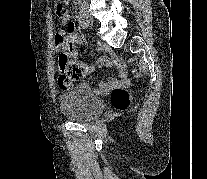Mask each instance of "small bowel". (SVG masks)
Instances as JSON below:
<instances>
[{
  "mask_svg": "<svg viewBox=\"0 0 207 179\" xmlns=\"http://www.w3.org/2000/svg\"><path fill=\"white\" fill-rule=\"evenodd\" d=\"M62 25L66 29L59 30L55 35V40H65L67 45V51L71 55L72 59L75 60L77 57V52L75 50L76 45L82 42L81 36L76 29V26L73 22L70 21V14L67 13L65 16L61 18ZM98 65H113L117 68L119 72V79L110 78L108 80L101 81L99 87L97 89L99 94H106L111 89L118 86H128L130 80L127 76L125 65L122 61L121 56L117 55L113 58V60H109L108 58H101L98 61ZM63 88H68L70 84L62 83Z\"/></svg>",
  "mask_w": 207,
  "mask_h": 179,
  "instance_id": "1",
  "label": "small bowel"
}]
</instances>
